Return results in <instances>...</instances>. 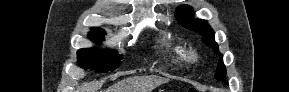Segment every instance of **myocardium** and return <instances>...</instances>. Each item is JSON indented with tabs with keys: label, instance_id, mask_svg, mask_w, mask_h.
<instances>
[{
	"label": "myocardium",
	"instance_id": "1",
	"mask_svg": "<svg viewBox=\"0 0 289 92\" xmlns=\"http://www.w3.org/2000/svg\"><path fill=\"white\" fill-rule=\"evenodd\" d=\"M188 59H189V61H191V62H195V61L197 60V53H196V51L191 50V51L188 53Z\"/></svg>",
	"mask_w": 289,
	"mask_h": 92
}]
</instances>
